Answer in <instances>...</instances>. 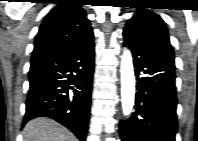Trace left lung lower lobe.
Wrapping results in <instances>:
<instances>
[{"label":"left lung lower lobe","mask_w":198,"mask_h":141,"mask_svg":"<svg viewBox=\"0 0 198 141\" xmlns=\"http://www.w3.org/2000/svg\"><path fill=\"white\" fill-rule=\"evenodd\" d=\"M137 79L135 112L121 121V141H175L178 129L175 57L169 45L152 46L124 34ZM145 76L140 78V75Z\"/></svg>","instance_id":"obj_1"}]
</instances>
